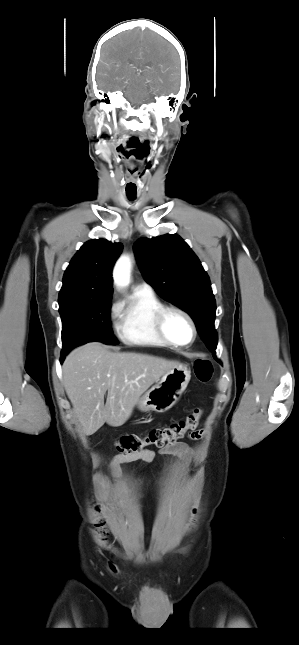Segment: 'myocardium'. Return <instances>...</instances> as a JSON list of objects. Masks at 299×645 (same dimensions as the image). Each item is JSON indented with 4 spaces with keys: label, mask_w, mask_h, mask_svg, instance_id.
<instances>
[{
    "label": "myocardium",
    "mask_w": 299,
    "mask_h": 645,
    "mask_svg": "<svg viewBox=\"0 0 299 645\" xmlns=\"http://www.w3.org/2000/svg\"><path fill=\"white\" fill-rule=\"evenodd\" d=\"M170 313H178V314H180L190 324V327H191V330H192V337H191L189 342H187V343H179V342L174 341L168 335L167 330H166V320H167V317H168V315ZM155 328H156V331H157L158 335L160 336V338L163 341H165L168 345H171V346H174V347H179V348L187 347V346L191 345L196 340V337H197V327H196V324H195L192 316L187 311H185L184 309H182V308H180L178 306H173V305L163 306L158 311V313L156 314Z\"/></svg>",
    "instance_id": "obj_1"
}]
</instances>
